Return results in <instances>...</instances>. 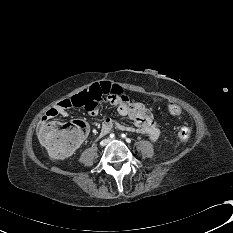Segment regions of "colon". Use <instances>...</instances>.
Wrapping results in <instances>:
<instances>
[{
	"instance_id": "obj_1",
	"label": "colon",
	"mask_w": 233,
	"mask_h": 233,
	"mask_svg": "<svg viewBox=\"0 0 233 233\" xmlns=\"http://www.w3.org/2000/svg\"><path fill=\"white\" fill-rule=\"evenodd\" d=\"M111 93L115 95V101H117L121 97V88L117 84L98 82L88 90L70 98V103L73 107L92 111L91 109L96 102ZM167 110L172 116L182 114V109L174 103H169ZM87 132L88 125L83 121L76 120L64 124H46L40 129L39 138L50 157L60 160L67 158L76 150L83 142ZM191 133L189 127H182L178 130L177 137L181 140H187L190 138Z\"/></svg>"
}]
</instances>
